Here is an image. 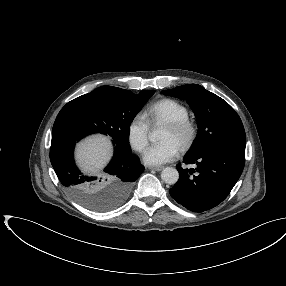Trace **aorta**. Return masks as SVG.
<instances>
[{"instance_id":"1","label":"aorta","mask_w":286,"mask_h":286,"mask_svg":"<svg viewBox=\"0 0 286 286\" xmlns=\"http://www.w3.org/2000/svg\"><path fill=\"white\" fill-rule=\"evenodd\" d=\"M151 140H157L158 139V134L156 131H154L150 136ZM161 178L162 180L166 183V184H175L178 179H179V173L178 171L173 168V167H166L165 169H163V171L161 172Z\"/></svg>"}]
</instances>
